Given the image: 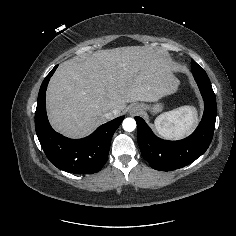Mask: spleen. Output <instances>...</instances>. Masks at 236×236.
I'll return each mask as SVG.
<instances>
[{"mask_svg":"<svg viewBox=\"0 0 236 236\" xmlns=\"http://www.w3.org/2000/svg\"><path fill=\"white\" fill-rule=\"evenodd\" d=\"M197 123V110L193 106H181L165 112L155 119L157 133L165 139H181L189 134Z\"/></svg>","mask_w":236,"mask_h":236,"instance_id":"obj_1","label":"spleen"}]
</instances>
